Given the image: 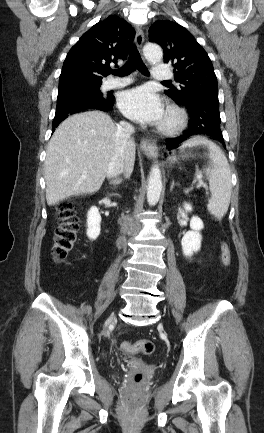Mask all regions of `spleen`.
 Listing matches in <instances>:
<instances>
[{
	"mask_svg": "<svg viewBox=\"0 0 264 433\" xmlns=\"http://www.w3.org/2000/svg\"><path fill=\"white\" fill-rule=\"evenodd\" d=\"M199 145L206 146L208 149L209 164L204 171L212 195L207 208L220 220L227 213L230 204L232 192L230 167L220 147L205 137L196 136L188 139L181 145L180 150Z\"/></svg>",
	"mask_w": 264,
	"mask_h": 433,
	"instance_id": "obj_1",
	"label": "spleen"
}]
</instances>
